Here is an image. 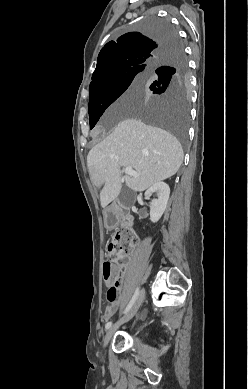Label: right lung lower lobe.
Here are the masks:
<instances>
[{
	"label": "right lung lower lobe",
	"mask_w": 248,
	"mask_h": 389,
	"mask_svg": "<svg viewBox=\"0 0 248 389\" xmlns=\"http://www.w3.org/2000/svg\"><path fill=\"white\" fill-rule=\"evenodd\" d=\"M175 39H177V43L175 44L176 47L172 50V51H176L177 53H183V48L178 40L177 37H175ZM184 54V53H183ZM166 70H159V68L156 69L155 73H164Z\"/></svg>",
	"instance_id": "98d812e1"
}]
</instances>
